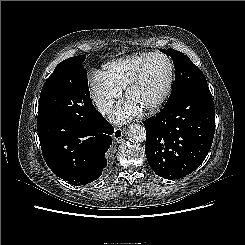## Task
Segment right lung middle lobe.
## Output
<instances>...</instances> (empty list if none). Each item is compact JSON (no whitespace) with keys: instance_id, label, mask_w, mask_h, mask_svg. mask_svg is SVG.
<instances>
[{"instance_id":"right-lung-middle-lobe-1","label":"right lung middle lobe","mask_w":245,"mask_h":245,"mask_svg":"<svg viewBox=\"0 0 245 245\" xmlns=\"http://www.w3.org/2000/svg\"><path fill=\"white\" fill-rule=\"evenodd\" d=\"M85 58L86 55L71 57L56 66L41 90L38 118L57 117L75 122L89 119L94 106L82 65Z\"/></svg>"}]
</instances>
